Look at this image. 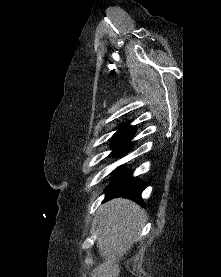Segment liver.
<instances>
[{"mask_svg":"<svg viewBox=\"0 0 221 277\" xmlns=\"http://www.w3.org/2000/svg\"><path fill=\"white\" fill-rule=\"evenodd\" d=\"M97 219V247L103 262L92 270L90 277H118L119 260L131 248L144 225L145 212L136 203L117 198L100 206Z\"/></svg>","mask_w":221,"mask_h":277,"instance_id":"obj_1","label":"liver"}]
</instances>
